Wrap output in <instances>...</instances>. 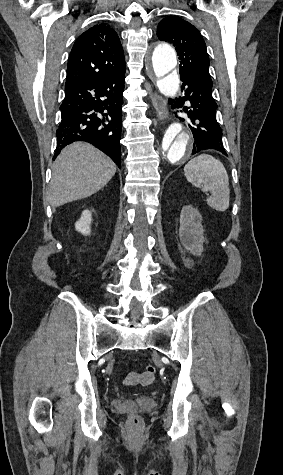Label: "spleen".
<instances>
[{"label":"spleen","mask_w":283,"mask_h":475,"mask_svg":"<svg viewBox=\"0 0 283 475\" xmlns=\"http://www.w3.org/2000/svg\"><path fill=\"white\" fill-rule=\"evenodd\" d=\"M184 176L195 188L202 192H211L206 202L217 212H225L229 208L230 190L228 174L220 160L209 154H201L190 160L184 168Z\"/></svg>","instance_id":"1"}]
</instances>
